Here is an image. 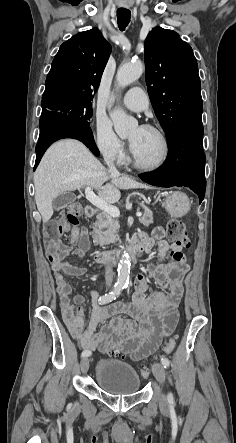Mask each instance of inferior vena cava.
Masks as SVG:
<instances>
[{
  "label": "inferior vena cava",
  "mask_w": 236,
  "mask_h": 443,
  "mask_svg": "<svg viewBox=\"0 0 236 443\" xmlns=\"http://www.w3.org/2000/svg\"><path fill=\"white\" fill-rule=\"evenodd\" d=\"M105 161L108 166L109 173L118 174V171L114 165V157L112 155H106ZM113 276H114V273H113L112 267L110 265H107L106 272H105V281H106V285L108 287H111V285H112Z\"/></svg>",
  "instance_id": "1"
}]
</instances>
